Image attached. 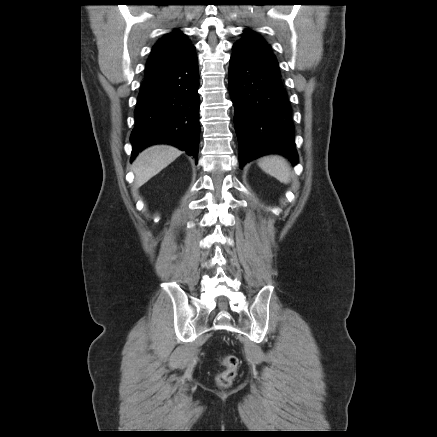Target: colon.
I'll return each mask as SVG.
<instances>
[{
  "instance_id": "5ec220e1",
  "label": "colon",
  "mask_w": 437,
  "mask_h": 437,
  "mask_svg": "<svg viewBox=\"0 0 437 437\" xmlns=\"http://www.w3.org/2000/svg\"><path fill=\"white\" fill-rule=\"evenodd\" d=\"M223 370L217 375V383L222 387L229 386L236 377L239 359L234 354H226L222 359Z\"/></svg>"
}]
</instances>
